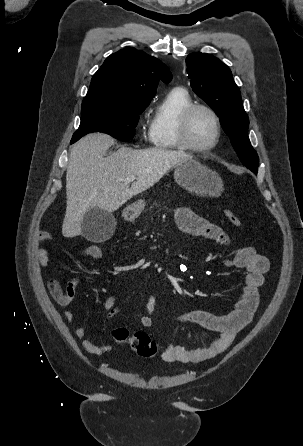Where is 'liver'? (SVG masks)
Listing matches in <instances>:
<instances>
[{
  "label": "liver",
  "instance_id": "6515ba94",
  "mask_svg": "<svg viewBox=\"0 0 303 446\" xmlns=\"http://www.w3.org/2000/svg\"><path fill=\"white\" fill-rule=\"evenodd\" d=\"M114 144L107 134L92 133L71 149L66 172V214L62 225L64 237L81 234V222L90 209L98 207L109 213L133 196L149 189L172 167L191 156L164 149L136 150L121 147L104 157ZM135 176L131 187L125 179Z\"/></svg>",
  "mask_w": 303,
  "mask_h": 446
}]
</instances>
